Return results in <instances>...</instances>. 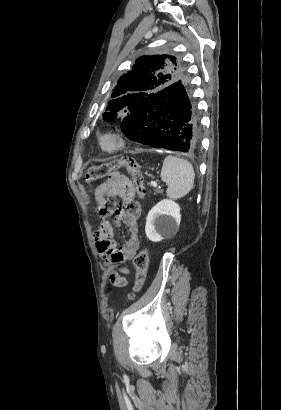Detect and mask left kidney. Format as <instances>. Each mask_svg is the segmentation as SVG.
I'll use <instances>...</instances> for the list:
<instances>
[{
  "mask_svg": "<svg viewBox=\"0 0 281 410\" xmlns=\"http://www.w3.org/2000/svg\"><path fill=\"white\" fill-rule=\"evenodd\" d=\"M180 221V206L169 199L161 200L147 215L146 236L152 242H159L163 239L161 232L175 228Z\"/></svg>",
  "mask_w": 281,
  "mask_h": 410,
  "instance_id": "1",
  "label": "left kidney"
}]
</instances>
